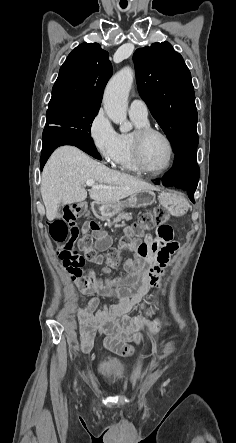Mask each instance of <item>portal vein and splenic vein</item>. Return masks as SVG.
I'll use <instances>...</instances> for the list:
<instances>
[{"label": "portal vein and splenic vein", "instance_id": "portal-vein-and-splenic-vein-1", "mask_svg": "<svg viewBox=\"0 0 236 443\" xmlns=\"http://www.w3.org/2000/svg\"><path fill=\"white\" fill-rule=\"evenodd\" d=\"M86 185L89 186V187H92V188H107V187L102 186V185H96L95 181H93V180H87Z\"/></svg>", "mask_w": 236, "mask_h": 443}]
</instances>
